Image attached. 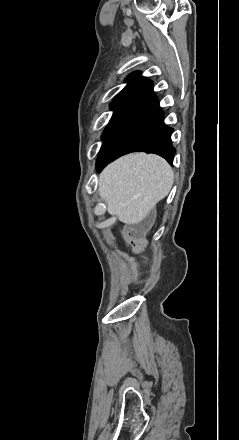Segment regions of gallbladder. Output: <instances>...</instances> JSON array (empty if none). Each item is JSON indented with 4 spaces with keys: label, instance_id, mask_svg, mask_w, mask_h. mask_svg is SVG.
Returning a JSON list of instances; mask_svg holds the SVG:
<instances>
[{
    "label": "gallbladder",
    "instance_id": "1",
    "mask_svg": "<svg viewBox=\"0 0 239 440\" xmlns=\"http://www.w3.org/2000/svg\"><path fill=\"white\" fill-rule=\"evenodd\" d=\"M155 222V214L154 212H151V214H148L147 218H145V224L148 228V230H150L151 226H153Z\"/></svg>",
    "mask_w": 239,
    "mask_h": 440
}]
</instances>
